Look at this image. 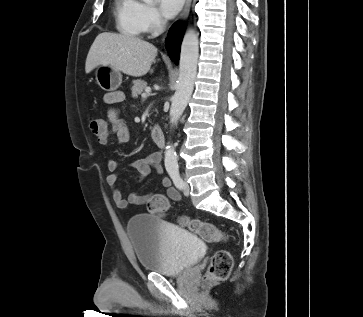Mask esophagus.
I'll list each match as a JSON object with an SVG mask.
<instances>
[{"label": "esophagus", "mask_w": 363, "mask_h": 317, "mask_svg": "<svg viewBox=\"0 0 363 317\" xmlns=\"http://www.w3.org/2000/svg\"><path fill=\"white\" fill-rule=\"evenodd\" d=\"M192 0H186L185 7L183 9L182 14L180 15L179 20H185L189 14L190 7H191Z\"/></svg>", "instance_id": "obj_1"}]
</instances>
